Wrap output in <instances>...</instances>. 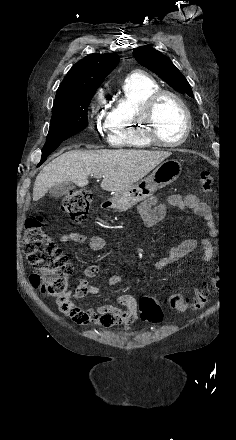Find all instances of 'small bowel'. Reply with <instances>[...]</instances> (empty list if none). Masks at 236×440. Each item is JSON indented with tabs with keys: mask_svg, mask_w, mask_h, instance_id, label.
Wrapping results in <instances>:
<instances>
[{
	"mask_svg": "<svg viewBox=\"0 0 236 440\" xmlns=\"http://www.w3.org/2000/svg\"><path fill=\"white\" fill-rule=\"evenodd\" d=\"M168 203L180 210L191 209L194 213L202 218L210 229V234H215L214 222L210 213L209 207L206 203L200 201L194 194L186 196L172 195ZM138 210L143 218L144 224L151 228L160 223L165 217L166 205L160 203L155 196H150L143 200ZM63 244H78L87 245L92 251H101L105 247V240L97 235H87L78 232H70L60 237ZM197 245L193 239H186L173 246L166 257L159 260L155 264L156 269H162L168 265L176 263L190 252H192ZM209 261V254L205 257ZM99 272V267L96 265L88 266L84 271V277L79 281L76 289L71 293L72 301L67 311H62L65 315L70 317L76 323L81 324L82 329L88 328V323H93L104 328L118 327L124 332L132 329L133 324L138 320L139 311L136 298L132 294H121L117 298V304L124 307L112 304H101L94 308L82 309L73 304L75 299H80L88 294H98L100 288L91 282V279L96 277ZM205 272V268L201 270V274ZM122 281L119 274H114L109 277L108 284L111 286L117 285Z\"/></svg>",
	"mask_w": 236,
	"mask_h": 440,
	"instance_id": "c3829d8e",
	"label": "small bowel"
}]
</instances>
